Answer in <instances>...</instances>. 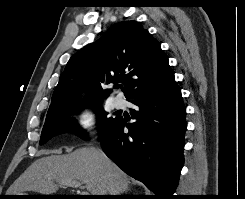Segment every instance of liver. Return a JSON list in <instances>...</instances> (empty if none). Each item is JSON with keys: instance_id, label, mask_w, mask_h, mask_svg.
Segmentation results:
<instances>
[{"instance_id": "liver-1", "label": "liver", "mask_w": 245, "mask_h": 199, "mask_svg": "<svg viewBox=\"0 0 245 199\" xmlns=\"http://www.w3.org/2000/svg\"><path fill=\"white\" fill-rule=\"evenodd\" d=\"M81 181L91 195H121L128 190L129 177L102 151L82 147L67 155H51L33 162L14 182L8 193L26 191L51 195L58 190L55 182Z\"/></svg>"}]
</instances>
